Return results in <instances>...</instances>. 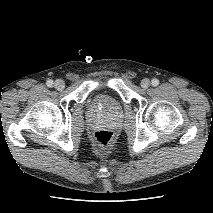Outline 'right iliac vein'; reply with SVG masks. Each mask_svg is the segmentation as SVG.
I'll list each match as a JSON object with an SVG mask.
<instances>
[{"label":"right iliac vein","mask_w":213,"mask_h":213,"mask_svg":"<svg viewBox=\"0 0 213 213\" xmlns=\"http://www.w3.org/2000/svg\"><path fill=\"white\" fill-rule=\"evenodd\" d=\"M54 86L59 91L63 90L65 87V82L63 80L58 79L55 81Z\"/></svg>","instance_id":"1"}]
</instances>
